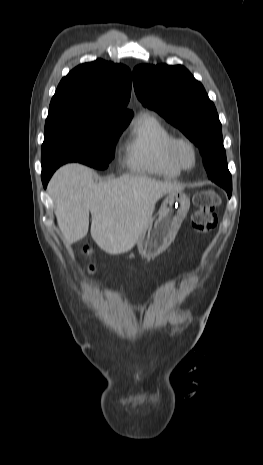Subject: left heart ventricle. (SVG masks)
<instances>
[{"label": "left heart ventricle", "instance_id": "1", "mask_svg": "<svg viewBox=\"0 0 263 465\" xmlns=\"http://www.w3.org/2000/svg\"><path fill=\"white\" fill-rule=\"evenodd\" d=\"M180 156L186 164H190L192 162V153L187 146H182L180 148Z\"/></svg>", "mask_w": 263, "mask_h": 465}]
</instances>
